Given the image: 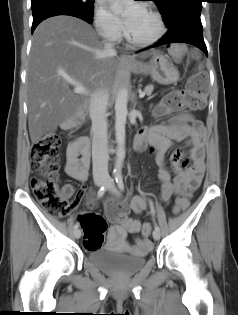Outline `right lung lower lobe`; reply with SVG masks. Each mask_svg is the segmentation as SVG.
Instances as JSON below:
<instances>
[{"label":"right lung lower lobe","instance_id":"right-lung-lower-lobe-1","mask_svg":"<svg viewBox=\"0 0 238 315\" xmlns=\"http://www.w3.org/2000/svg\"><path fill=\"white\" fill-rule=\"evenodd\" d=\"M31 7L33 14L32 33L43 20L57 15H70L83 19L88 23L93 22V12L90 13L81 8L64 3L46 2L35 4Z\"/></svg>","mask_w":238,"mask_h":315}]
</instances>
